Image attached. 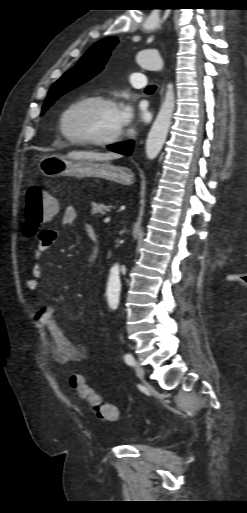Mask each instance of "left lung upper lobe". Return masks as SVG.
Segmentation results:
<instances>
[{"label": "left lung upper lobe", "mask_w": 247, "mask_h": 513, "mask_svg": "<svg viewBox=\"0 0 247 513\" xmlns=\"http://www.w3.org/2000/svg\"><path fill=\"white\" fill-rule=\"evenodd\" d=\"M117 43V37H107L91 46L78 63L52 85L44 101L42 113L64 93L85 83L100 72Z\"/></svg>", "instance_id": "1"}]
</instances>
